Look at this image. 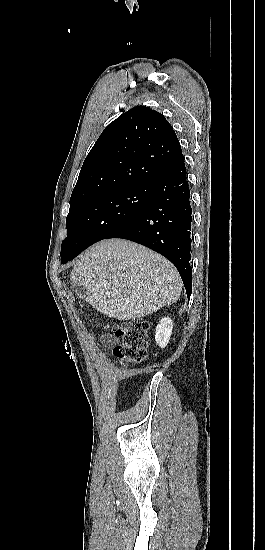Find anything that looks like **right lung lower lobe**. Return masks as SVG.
Instances as JSON below:
<instances>
[{"label": "right lung lower lobe", "instance_id": "98d812e1", "mask_svg": "<svg viewBox=\"0 0 265 550\" xmlns=\"http://www.w3.org/2000/svg\"><path fill=\"white\" fill-rule=\"evenodd\" d=\"M191 222L190 191L182 158L158 179L145 209L106 238L131 240L165 256L178 269L190 298Z\"/></svg>", "mask_w": 265, "mask_h": 550}]
</instances>
